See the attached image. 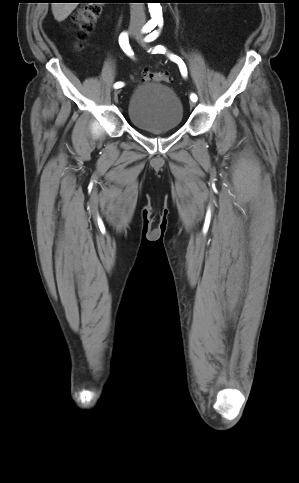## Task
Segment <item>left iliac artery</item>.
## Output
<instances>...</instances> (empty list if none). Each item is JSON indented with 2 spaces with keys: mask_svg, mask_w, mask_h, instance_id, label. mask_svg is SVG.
<instances>
[{
  "mask_svg": "<svg viewBox=\"0 0 299 483\" xmlns=\"http://www.w3.org/2000/svg\"><path fill=\"white\" fill-rule=\"evenodd\" d=\"M161 25H162V23H159V26H161ZM158 34H159L158 31H156V30L153 31L151 34H149L145 37V42H151V41L155 40L158 37ZM150 51L153 54H156V53L164 54L166 52V49L162 45H157L154 49H150L149 52ZM170 59L178 64L182 76L186 77L187 76V67H186L185 63L183 62V60L180 57L173 55V54L170 55ZM190 99H191V101L196 102L197 101V95L192 93L191 96H190Z\"/></svg>",
  "mask_w": 299,
  "mask_h": 483,
  "instance_id": "left-iliac-artery-1",
  "label": "left iliac artery"
}]
</instances>
